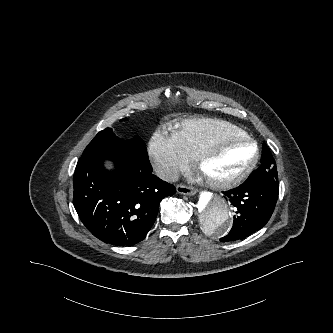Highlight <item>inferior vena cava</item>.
<instances>
[{
	"mask_svg": "<svg viewBox=\"0 0 333 333\" xmlns=\"http://www.w3.org/2000/svg\"><path fill=\"white\" fill-rule=\"evenodd\" d=\"M156 175L164 181L175 182L178 180V171L167 166H158L155 169Z\"/></svg>",
	"mask_w": 333,
	"mask_h": 333,
	"instance_id": "obj_1",
	"label": "inferior vena cava"
}]
</instances>
